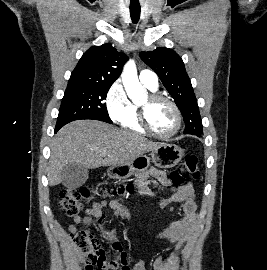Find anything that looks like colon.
<instances>
[{
  "instance_id": "1",
  "label": "colon",
  "mask_w": 267,
  "mask_h": 270,
  "mask_svg": "<svg viewBox=\"0 0 267 270\" xmlns=\"http://www.w3.org/2000/svg\"><path fill=\"white\" fill-rule=\"evenodd\" d=\"M200 171L198 168V159L194 154H187L181 166L172 172L170 183L172 186H179L186 179L198 180ZM160 185V184H159ZM150 184L142 185L127 184L118 189L108 190V194L132 193L135 189L146 192L150 190ZM92 185L82 186L79 188H68L61 192L59 207L68 216H75L81 212L84 204L94 192ZM72 239L79 249L86 270H105L106 267L111 269H126V258L121 257L118 261L107 262L105 252L101 246L100 240L89 231H72Z\"/></svg>"
}]
</instances>
